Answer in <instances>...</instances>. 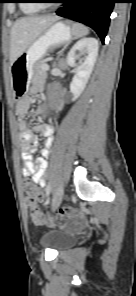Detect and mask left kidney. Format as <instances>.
<instances>
[{
    "label": "left kidney",
    "mask_w": 136,
    "mask_h": 296,
    "mask_svg": "<svg viewBox=\"0 0 136 296\" xmlns=\"http://www.w3.org/2000/svg\"><path fill=\"white\" fill-rule=\"evenodd\" d=\"M98 50L99 43L97 39L88 37L77 41L67 55V64L70 67H76V74L70 83V92L73 95V101H75L85 89L96 62ZM77 52L86 54L80 65L76 64V59L78 58Z\"/></svg>",
    "instance_id": "1"
}]
</instances>
